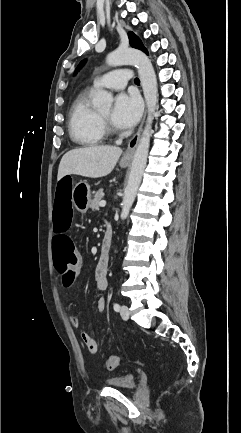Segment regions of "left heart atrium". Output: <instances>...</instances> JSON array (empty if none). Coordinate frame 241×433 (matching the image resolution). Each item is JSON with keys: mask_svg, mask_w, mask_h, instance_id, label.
<instances>
[{"mask_svg": "<svg viewBox=\"0 0 241 433\" xmlns=\"http://www.w3.org/2000/svg\"><path fill=\"white\" fill-rule=\"evenodd\" d=\"M141 112V99L133 93H122L115 99L111 121L117 128H131L138 122Z\"/></svg>", "mask_w": 241, "mask_h": 433, "instance_id": "left-heart-atrium-1", "label": "left heart atrium"}]
</instances>
